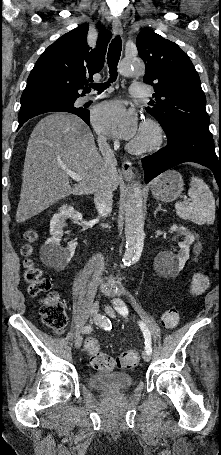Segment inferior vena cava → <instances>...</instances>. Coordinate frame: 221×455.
I'll use <instances>...</instances> for the list:
<instances>
[{"label":"inferior vena cava","instance_id":"obj_1","mask_svg":"<svg viewBox=\"0 0 221 455\" xmlns=\"http://www.w3.org/2000/svg\"><path fill=\"white\" fill-rule=\"evenodd\" d=\"M98 144L104 160V170L107 173H112L117 165L115 155L105 137H98ZM112 197L113 194L110 184L100 183L96 186L94 190V203L102 217H107L111 213Z\"/></svg>","mask_w":221,"mask_h":455}]
</instances>
